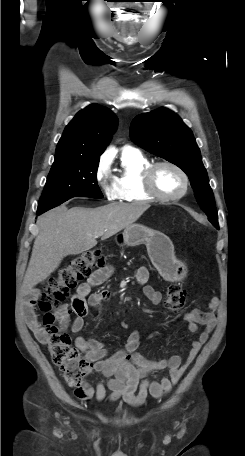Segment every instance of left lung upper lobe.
<instances>
[{
    "label": "left lung upper lobe",
    "mask_w": 245,
    "mask_h": 456,
    "mask_svg": "<svg viewBox=\"0 0 245 456\" xmlns=\"http://www.w3.org/2000/svg\"><path fill=\"white\" fill-rule=\"evenodd\" d=\"M130 136L135 144L177 165L187 174L200 207L219 229L214 196L200 150L180 117L165 108L138 115L131 122Z\"/></svg>",
    "instance_id": "5c2ea615"
}]
</instances>
